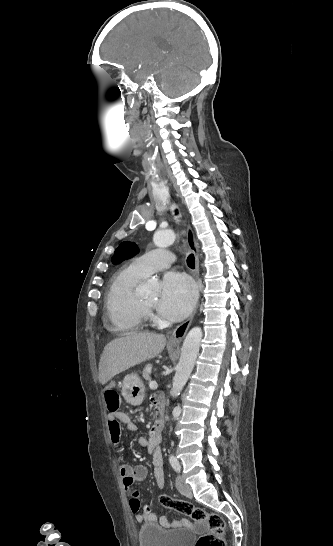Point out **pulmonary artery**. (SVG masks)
I'll return each instance as SVG.
<instances>
[{
  "instance_id": "obj_1",
  "label": "pulmonary artery",
  "mask_w": 333,
  "mask_h": 546,
  "mask_svg": "<svg viewBox=\"0 0 333 546\" xmlns=\"http://www.w3.org/2000/svg\"><path fill=\"white\" fill-rule=\"evenodd\" d=\"M175 261L173 253L165 249H155L135 258L131 266L143 276L170 267Z\"/></svg>"
}]
</instances>
